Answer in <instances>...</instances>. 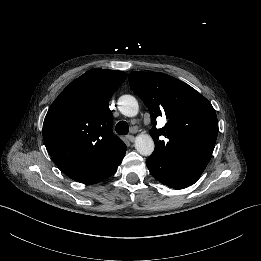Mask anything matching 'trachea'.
<instances>
[{
  "mask_svg": "<svg viewBox=\"0 0 261 261\" xmlns=\"http://www.w3.org/2000/svg\"><path fill=\"white\" fill-rule=\"evenodd\" d=\"M115 130L120 135H127L129 132V125L126 121H120L117 123Z\"/></svg>",
  "mask_w": 261,
  "mask_h": 261,
  "instance_id": "trachea-1",
  "label": "trachea"
}]
</instances>
